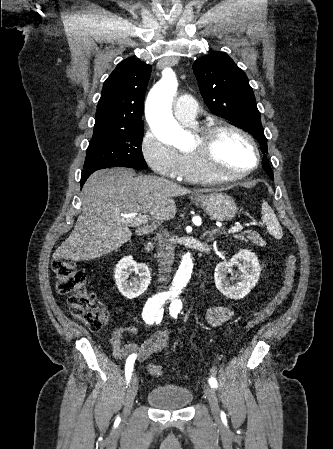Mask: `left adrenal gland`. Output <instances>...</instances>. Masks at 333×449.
I'll list each match as a JSON object with an SVG mask.
<instances>
[{"mask_svg": "<svg viewBox=\"0 0 333 449\" xmlns=\"http://www.w3.org/2000/svg\"><path fill=\"white\" fill-rule=\"evenodd\" d=\"M220 232L218 229H214L210 232L209 238L212 241L216 233Z\"/></svg>", "mask_w": 333, "mask_h": 449, "instance_id": "1", "label": "left adrenal gland"}]
</instances>
